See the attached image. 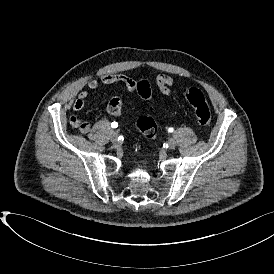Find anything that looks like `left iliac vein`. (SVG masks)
<instances>
[{
  "instance_id": "obj_1",
  "label": "left iliac vein",
  "mask_w": 274,
  "mask_h": 274,
  "mask_svg": "<svg viewBox=\"0 0 274 274\" xmlns=\"http://www.w3.org/2000/svg\"><path fill=\"white\" fill-rule=\"evenodd\" d=\"M168 147L170 149H174L176 147V140L173 139V138H170L169 141H168Z\"/></svg>"
}]
</instances>
